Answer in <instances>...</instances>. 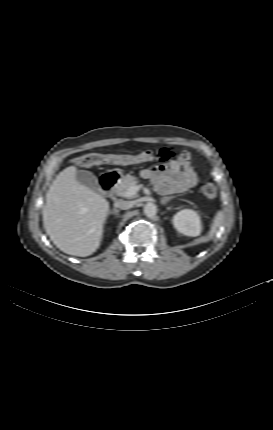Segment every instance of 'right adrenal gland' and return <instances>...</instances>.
Listing matches in <instances>:
<instances>
[{
  "mask_svg": "<svg viewBox=\"0 0 273 430\" xmlns=\"http://www.w3.org/2000/svg\"><path fill=\"white\" fill-rule=\"evenodd\" d=\"M119 212H120V210L114 208L112 211H110V210L108 211L107 216H109V215H115L116 217H118L119 216Z\"/></svg>",
  "mask_w": 273,
  "mask_h": 430,
  "instance_id": "1",
  "label": "right adrenal gland"
}]
</instances>
